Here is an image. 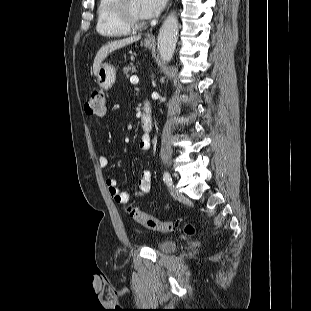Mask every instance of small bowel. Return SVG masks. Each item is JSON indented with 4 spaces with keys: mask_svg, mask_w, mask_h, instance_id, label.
<instances>
[{
    "mask_svg": "<svg viewBox=\"0 0 311 311\" xmlns=\"http://www.w3.org/2000/svg\"><path fill=\"white\" fill-rule=\"evenodd\" d=\"M151 139L148 134H143L139 140V149L141 151H147L150 148ZM98 164L101 168H106L109 166L110 161L106 156H99ZM106 187L112 199L119 204L129 203L133 196H141L150 190L151 185V175L148 169H143L140 173L138 179L139 191L135 194L128 192H123L118 188L117 180L112 177H108L105 180Z\"/></svg>",
    "mask_w": 311,
    "mask_h": 311,
    "instance_id": "1",
    "label": "small bowel"
}]
</instances>
